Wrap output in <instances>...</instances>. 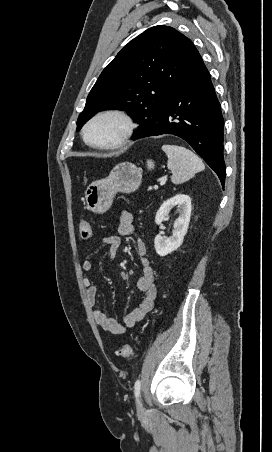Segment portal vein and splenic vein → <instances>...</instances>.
Returning <instances> with one entry per match:
<instances>
[{
	"mask_svg": "<svg viewBox=\"0 0 272 452\" xmlns=\"http://www.w3.org/2000/svg\"><path fill=\"white\" fill-rule=\"evenodd\" d=\"M165 181H166L165 179H162V180H161V184L164 183ZM154 189H158V185H155V186H154Z\"/></svg>",
	"mask_w": 272,
	"mask_h": 452,
	"instance_id": "portal-vein-and-splenic-vein-1",
	"label": "portal vein and splenic vein"
}]
</instances>
